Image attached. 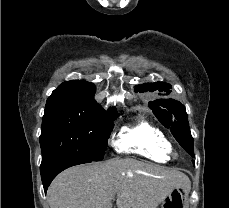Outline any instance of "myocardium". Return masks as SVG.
<instances>
[{
  "mask_svg": "<svg viewBox=\"0 0 229 208\" xmlns=\"http://www.w3.org/2000/svg\"><path fill=\"white\" fill-rule=\"evenodd\" d=\"M170 151H171L172 156H174V157H177L179 155V149L174 144L170 145Z\"/></svg>",
  "mask_w": 229,
  "mask_h": 208,
  "instance_id": "f54148a6",
  "label": "myocardium"
}]
</instances>
